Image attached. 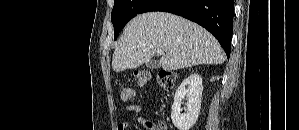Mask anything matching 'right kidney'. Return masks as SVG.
<instances>
[{
    "label": "right kidney",
    "mask_w": 299,
    "mask_h": 130,
    "mask_svg": "<svg viewBox=\"0 0 299 130\" xmlns=\"http://www.w3.org/2000/svg\"><path fill=\"white\" fill-rule=\"evenodd\" d=\"M203 92L202 78L191 74L176 90L171 111V120L178 130H189L197 121ZM187 98V112L181 113L182 99Z\"/></svg>",
    "instance_id": "right-kidney-1"
}]
</instances>
